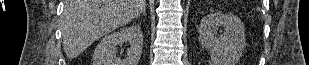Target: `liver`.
I'll list each match as a JSON object with an SVG mask.
<instances>
[{
  "mask_svg": "<svg viewBox=\"0 0 309 65\" xmlns=\"http://www.w3.org/2000/svg\"><path fill=\"white\" fill-rule=\"evenodd\" d=\"M146 0H64L61 30L69 59L95 40L126 25L146 8Z\"/></svg>",
  "mask_w": 309,
  "mask_h": 65,
  "instance_id": "obj_1",
  "label": "liver"
}]
</instances>
